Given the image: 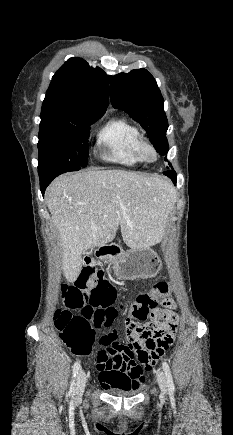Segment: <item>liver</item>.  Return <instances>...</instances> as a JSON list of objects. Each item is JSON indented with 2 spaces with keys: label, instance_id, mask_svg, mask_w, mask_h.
Here are the masks:
<instances>
[{
  "label": "liver",
  "instance_id": "obj_1",
  "mask_svg": "<svg viewBox=\"0 0 233 435\" xmlns=\"http://www.w3.org/2000/svg\"><path fill=\"white\" fill-rule=\"evenodd\" d=\"M45 197L59 232L68 282L81 272L82 254L111 242L119 226L131 249L159 243L178 198L175 187L161 176L115 169L63 174Z\"/></svg>",
  "mask_w": 233,
  "mask_h": 435
}]
</instances>
